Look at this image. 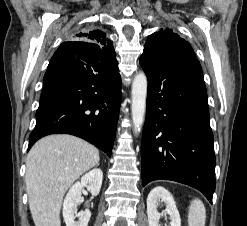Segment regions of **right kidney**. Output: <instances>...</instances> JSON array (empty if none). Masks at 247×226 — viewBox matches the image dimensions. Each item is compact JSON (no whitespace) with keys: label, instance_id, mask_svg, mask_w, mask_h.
<instances>
[{"label":"right kidney","instance_id":"1","mask_svg":"<svg viewBox=\"0 0 247 226\" xmlns=\"http://www.w3.org/2000/svg\"><path fill=\"white\" fill-rule=\"evenodd\" d=\"M103 173L101 169H93L83 175L67 193L63 203V218L66 226H87L91 217L89 210L77 213V207L81 203V192L85 186L93 196H97L102 185ZM78 217V221L75 218Z\"/></svg>","mask_w":247,"mask_h":226}]
</instances>
